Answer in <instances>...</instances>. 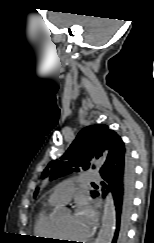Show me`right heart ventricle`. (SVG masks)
<instances>
[{"mask_svg":"<svg viewBox=\"0 0 154 243\" xmlns=\"http://www.w3.org/2000/svg\"><path fill=\"white\" fill-rule=\"evenodd\" d=\"M57 205L59 204L49 200L39 211L34 224V232L38 237L48 240L58 239L55 233V222L50 215L51 210Z\"/></svg>","mask_w":154,"mask_h":243,"instance_id":"obj_1","label":"right heart ventricle"}]
</instances>
